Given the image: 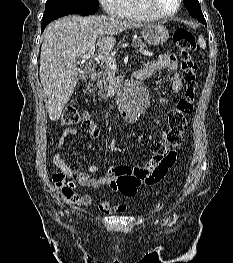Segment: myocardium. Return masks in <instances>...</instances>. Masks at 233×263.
<instances>
[{
    "instance_id": "f54148a6",
    "label": "myocardium",
    "mask_w": 233,
    "mask_h": 263,
    "mask_svg": "<svg viewBox=\"0 0 233 263\" xmlns=\"http://www.w3.org/2000/svg\"><path fill=\"white\" fill-rule=\"evenodd\" d=\"M144 4L146 6V8L154 15L156 16L157 18H171L173 16H175L180 7H181V4H182V0H176V8L174 11H172L171 13H163L161 11H159L154 3H153V0H144Z\"/></svg>"
}]
</instances>
